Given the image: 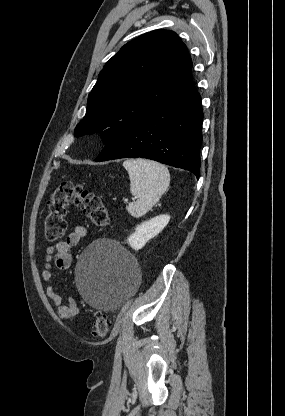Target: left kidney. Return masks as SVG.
<instances>
[{"label": "left kidney", "mask_w": 285, "mask_h": 416, "mask_svg": "<svg viewBox=\"0 0 285 416\" xmlns=\"http://www.w3.org/2000/svg\"><path fill=\"white\" fill-rule=\"evenodd\" d=\"M170 220V216L164 214V216H156L151 218L148 222H142L140 226L135 228L134 234H131L128 238V244H130L133 250H141L149 240L158 236L162 232L163 228L167 226Z\"/></svg>", "instance_id": "obj_1"}]
</instances>
